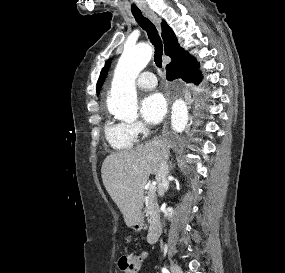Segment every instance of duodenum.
Listing matches in <instances>:
<instances>
[{
	"label": "duodenum",
	"instance_id": "410a0bca",
	"mask_svg": "<svg viewBox=\"0 0 285 273\" xmlns=\"http://www.w3.org/2000/svg\"><path fill=\"white\" fill-rule=\"evenodd\" d=\"M161 232H162V225L160 221L157 219L153 220L150 231L147 235V242L149 244L155 243Z\"/></svg>",
	"mask_w": 285,
	"mask_h": 273
}]
</instances>
